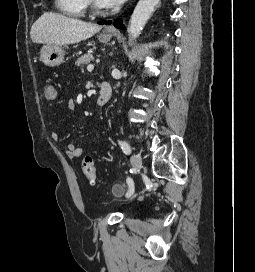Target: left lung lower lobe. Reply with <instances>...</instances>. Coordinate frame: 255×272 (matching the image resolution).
Returning <instances> with one entry per match:
<instances>
[{
    "label": "left lung lower lobe",
    "instance_id": "1",
    "mask_svg": "<svg viewBox=\"0 0 255 272\" xmlns=\"http://www.w3.org/2000/svg\"><path fill=\"white\" fill-rule=\"evenodd\" d=\"M111 21H102V22H98V24H110ZM114 26L120 29H125L124 26L122 25V20L121 19H117L114 21Z\"/></svg>",
    "mask_w": 255,
    "mask_h": 272
}]
</instances>
